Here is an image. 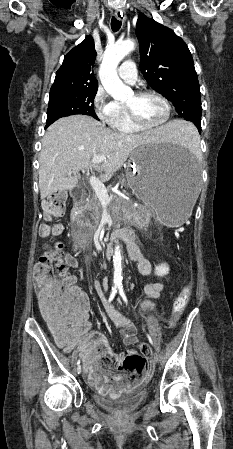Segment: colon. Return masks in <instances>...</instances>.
<instances>
[{
    "mask_svg": "<svg viewBox=\"0 0 233 449\" xmlns=\"http://www.w3.org/2000/svg\"><path fill=\"white\" fill-rule=\"evenodd\" d=\"M66 194L59 193L47 198L44 204L47 219L60 218L64 211ZM56 225H46L42 229L44 237L55 234ZM46 253L41 255L34 270V281L39 294L41 311L50 323L55 337L62 338L65 331L69 335L86 333L88 326L87 300L78 288L72 276L60 262L58 248L45 246ZM192 286L187 283L172 304L170 321L174 325L181 317L191 298ZM150 348L140 343L137 352L127 354L119 370L127 375H140L146 368V359Z\"/></svg>",
    "mask_w": 233,
    "mask_h": 449,
    "instance_id": "colon-1",
    "label": "colon"
}]
</instances>
